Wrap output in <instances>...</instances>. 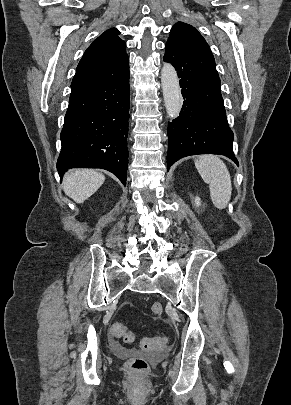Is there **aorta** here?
I'll return each mask as SVG.
<instances>
[{"label": "aorta", "instance_id": "1", "mask_svg": "<svg viewBox=\"0 0 291 405\" xmlns=\"http://www.w3.org/2000/svg\"><path fill=\"white\" fill-rule=\"evenodd\" d=\"M161 83L167 115L175 119L180 114L183 99L176 70L169 63L162 67Z\"/></svg>", "mask_w": 291, "mask_h": 405}]
</instances>
